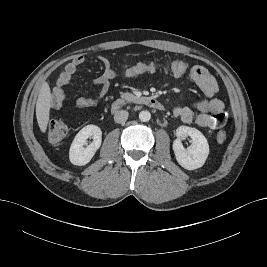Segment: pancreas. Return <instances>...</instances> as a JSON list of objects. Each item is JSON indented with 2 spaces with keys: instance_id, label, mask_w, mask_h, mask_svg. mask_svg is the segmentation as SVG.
Listing matches in <instances>:
<instances>
[{
  "instance_id": "pancreas-1",
  "label": "pancreas",
  "mask_w": 267,
  "mask_h": 267,
  "mask_svg": "<svg viewBox=\"0 0 267 267\" xmlns=\"http://www.w3.org/2000/svg\"><path fill=\"white\" fill-rule=\"evenodd\" d=\"M121 97H122V99H124L128 102H132V101L136 100V96H134L133 94L128 93V92L122 93Z\"/></svg>"
}]
</instances>
